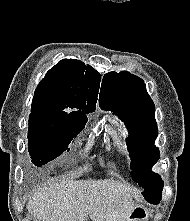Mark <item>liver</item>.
<instances>
[{
	"label": "liver",
	"mask_w": 190,
	"mask_h": 221,
	"mask_svg": "<svg viewBox=\"0 0 190 221\" xmlns=\"http://www.w3.org/2000/svg\"><path fill=\"white\" fill-rule=\"evenodd\" d=\"M134 188L114 179L56 180L39 188L27 203L37 221H122L135 208Z\"/></svg>",
	"instance_id": "6515ba94"
}]
</instances>
